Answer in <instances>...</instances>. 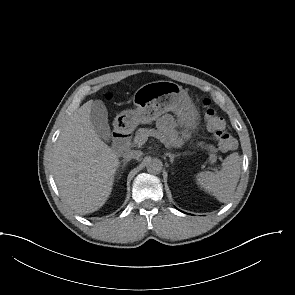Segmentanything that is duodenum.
<instances>
[{
  "mask_svg": "<svg viewBox=\"0 0 295 295\" xmlns=\"http://www.w3.org/2000/svg\"><path fill=\"white\" fill-rule=\"evenodd\" d=\"M112 145L116 154H127L130 146L129 131L125 128L116 127L113 133Z\"/></svg>",
  "mask_w": 295,
  "mask_h": 295,
  "instance_id": "duodenum-1",
  "label": "duodenum"
}]
</instances>
